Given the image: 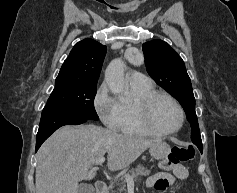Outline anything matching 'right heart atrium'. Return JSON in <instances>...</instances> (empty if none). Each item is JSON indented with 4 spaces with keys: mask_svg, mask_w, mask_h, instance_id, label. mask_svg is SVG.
<instances>
[{
    "mask_svg": "<svg viewBox=\"0 0 237 193\" xmlns=\"http://www.w3.org/2000/svg\"><path fill=\"white\" fill-rule=\"evenodd\" d=\"M93 103L100 120L110 129L118 131L122 117L121 103L106 83L97 89Z\"/></svg>",
    "mask_w": 237,
    "mask_h": 193,
    "instance_id": "obj_1",
    "label": "right heart atrium"
}]
</instances>
